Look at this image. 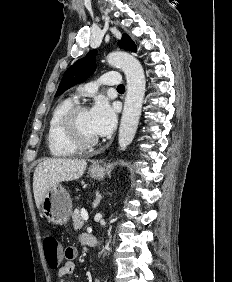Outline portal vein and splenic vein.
Here are the masks:
<instances>
[{
    "mask_svg": "<svg viewBox=\"0 0 232 282\" xmlns=\"http://www.w3.org/2000/svg\"><path fill=\"white\" fill-rule=\"evenodd\" d=\"M81 216L84 220H88V218H89L88 213L85 209L81 210Z\"/></svg>",
    "mask_w": 232,
    "mask_h": 282,
    "instance_id": "obj_1",
    "label": "portal vein and splenic vein"
}]
</instances>
